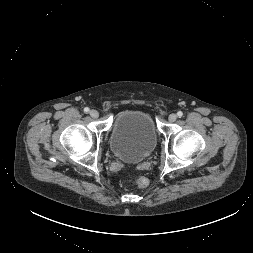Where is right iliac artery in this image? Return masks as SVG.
Wrapping results in <instances>:
<instances>
[{
    "mask_svg": "<svg viewBox=\"0 0 253 253\" xmlns=\"http://www.w3.org/2000/svg\"><path fill=\"white\" fill-rule=\"evenodd\" d=\"M84 112H85V113H88V112H89V108H88V107H85V108H84Z\"/></svg>",
    "mask_w": 253,
    "mask_h": 253,
    "instance_id": "1",
    "label": "right iliac artery"
}]
</instances>
